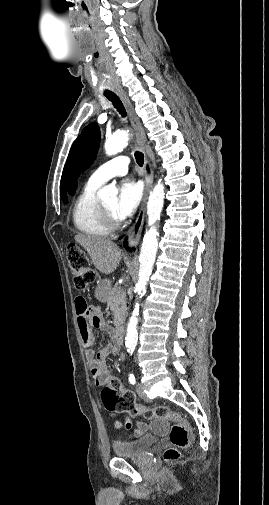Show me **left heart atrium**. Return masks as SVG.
Listing matches in <instances>:
<instances>
[{
	"instance_id": "1",
	"label": "left heart atrium",
	"mask_w": 269,
	"mask_h": 505,
	"mask_svg": "<svg viewBox=\"0 0 269 505\" xmlns=\"http://www.w3.org/2000/svg\"><path fill=\"white\" fill-rule=\"evenodd\" d=\"M142 198L141 186L133 181L125 180L119 188V195L115 206V215L119 219H125L132 215Z\"/></svg>"
}]
</instances>
